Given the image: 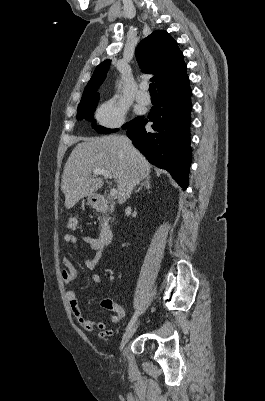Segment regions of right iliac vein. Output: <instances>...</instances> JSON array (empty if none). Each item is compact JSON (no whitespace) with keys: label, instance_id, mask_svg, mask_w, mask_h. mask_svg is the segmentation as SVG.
<instances>
[{"label":"right iliac vein","instance_id":"obj_1","mask_svg":"<svg viewBox=\"0 0 265 401\" xmlns=\"http://www.w3.org/2000/svg\"><path fill=\"white\" fill-rule=\"evenodd\" d=\"M138 324H139L138 322L133 324V326H131L129 329H127V331L124 333L122 340L120 342V346H119L120 351L123 350V348L129 341V339L133 336V334L135 333V331L138 327Z\"/></svg>","mask_w":265,"mask_h":401}]
</instances>
